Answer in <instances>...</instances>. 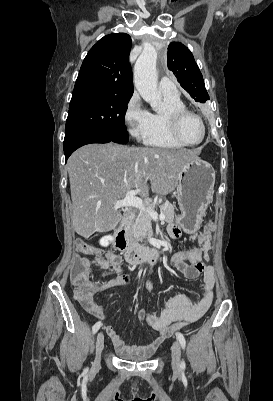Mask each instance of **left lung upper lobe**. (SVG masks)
I'll use <instances>...</instances> for the list:
<instances>
[{"mask_svg":"<svg viewBox=\"0 0 273 401\" xmlns=\"http://www.w3.org/2000/svg\"><path fill=\"white\" fill-rule=\"evenodd\" d=\"M167 55V66L176 75L180 85L195 101L206 102L209 95L191 51L180 42H172Z\"/></svg>","mask_w":273,"mask_h":401,"instance_id":"1","label":"left lung upper lobe"}]
</instances>
